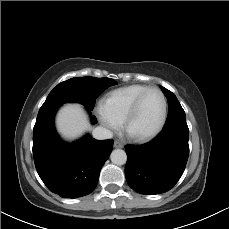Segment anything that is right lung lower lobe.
Wrapping results in <instances>:
<instances>
[{
    "label": "right lung lower lobe",
    "mask_w": 229,
    "mask_h": 229,
    "mask_svg": "<svg viewBox=\"0 0 229 229\" xmlns=\"http://www.w3.org/2000/svg\"><path fill=\"white\" fill-rule=\"evenodd\" d=\"M58 108L39 110L33 129L36 170L53 193L63 198L82 197L95 189L113 141H98L86 135L73 144L63 142L54 128ZM91 120L96 123L95 116H91Z\"/></svg>",
    "instance_id": "1"
}]
</instances>
